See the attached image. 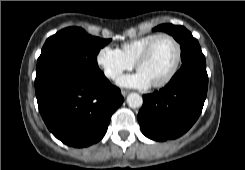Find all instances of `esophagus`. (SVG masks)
Here are the masks:
<instances>
[{
  "instance_id": "obj_1",
  "label": "esophagus",
  "mask_w": 245,
  "mask_h": 170,
  "mask_svg": "<svg viewBox=\"0 0 245 170\" xmlns=\"http://www.w3.org/2000/svg\"><path fill=\"white\" fill-rule=\"evenodd\" d=\"M129 93V91H127V90H122L121 91V94L125 97V96H127V94Z\"/></svg>"
}]
</instances>
